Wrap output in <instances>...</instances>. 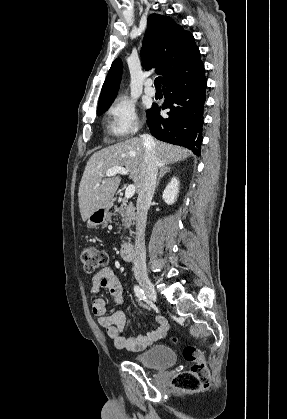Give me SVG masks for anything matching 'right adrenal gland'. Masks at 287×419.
Masks as SVG:
<instances>
[{"mask_svg":"<svg viewBox=\"0 0 287 419\" xmlns=\"http://www.w3.org/2000/svg\"><path fill=\"white\" fill-rule=\"evenodd\" d=\"M170 170H171V168L170 167H168V166H161L160 167V171H159V175H158V179H157V182H156V186H155V188H157L158 186H159V182H160V179L166 174V173H168V172H170Z\"/></svg>","mask_w":287,"mask_h":419,"instance_id":"1","label":"right adrenal gland"}]
</instances>
